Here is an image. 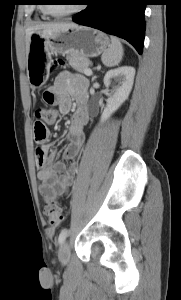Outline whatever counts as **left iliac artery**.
Masks as SVG:
<instances>
[{
    "label": "left iliac artery",
    "instance_id": "obj_1",
    "mask_svg": "<svg viewBox=\"0 0 181 300\" xmlns=\"http://www.w3.org/2000/svg\"><path fill=\"white\" fill-rule=\"evenodd\" d=\"M67 236H68V230L67 229L62 230L58 237L59 244L64 243Z\"/></svg>",
    "mask_w": 181,
    "mask_h": 300
}]
</instances>
